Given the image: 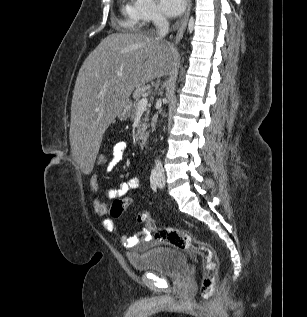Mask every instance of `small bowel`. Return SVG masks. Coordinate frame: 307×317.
<instances>
[{
    "label": "small bowel",
    "mask_w": 307,
    "mask_h": 317,
    "mask_svg": "<svg viewBox=\"0 0 307 317\" xmlns=\"http://www.w3.org/2000/svg\"><path fill=\"white\" fill-rule=\"evenodd\" d=\"M129 149V145L125 141H118L112 148V156L105 166V171H112L123 159L124 155ZM98 173H93L90 178V188L95 193H101L98 183ZM139 180L137 177H131L127 181L120 183L118 186L108 189L101 194L110 200L118 199L125 196L129 191L137 189ZM93 207L95 212L100 216H105L108 213L109 206L100 199L93 200ZM104 227L109 231H116L114 223L106 219L104 220ZM151 240V234L148 231H142L135 236H121V243L126 248H140Z\"/></svg>",
    "instance_id": "c3829d8e"
}]
</instances>
